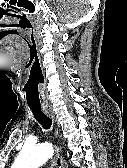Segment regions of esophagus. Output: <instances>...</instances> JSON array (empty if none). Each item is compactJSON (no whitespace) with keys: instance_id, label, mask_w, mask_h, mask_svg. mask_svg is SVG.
I'll return each mask as SVG.
<instances>
[{"instance_id":"obj_1","label":"esophagus","mask_w":127,"mask_h":168,"mask_svg":"<svg viewBox=\"0 0 127 168\" xmlns=\"http://www.w3.org/2000/svg\"><path fill=\"white\" fill-rule=\"evenodd\" d=\"M43 111L48 117H50L52 119V121L55 120L54 113H53L51 107L45 106V107H43ZM55 163H56V168H65L64 161H63L62 157L60 156V154L56 155Z\"/></svg>"}]
</instances>
